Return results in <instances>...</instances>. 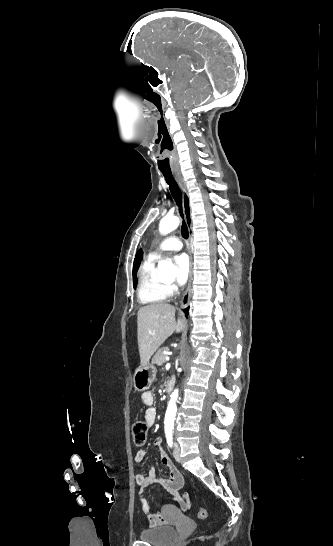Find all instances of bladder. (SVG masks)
<instances>
[{"label": "bladder", "mask_w": 333, "mask_h": 546, "mask_svg": "<svg viewBox=\"0 0 333 546\" xmlns=\"http://www.w3.org/2000/svg\"><path fill=\"white\" fill-rule=\"evenodd\" d=\"M139 537L152 546H171L178 538V531L173 526H156L142 530Z\"/></svg>", "instance_id": "31cf9c89"}]
</instances>
